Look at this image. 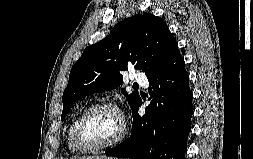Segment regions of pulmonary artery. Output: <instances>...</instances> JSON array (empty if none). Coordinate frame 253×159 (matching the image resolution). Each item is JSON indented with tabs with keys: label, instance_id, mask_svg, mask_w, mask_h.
<instances>
[{
	"label": "pulmonary artery",
	"instance_id": "e3ab8cb5",
	"mask_svg": "<svg viewBox=\"0 0 253 159\" xmlns=\"http://www.w3.org/2000/svg\"><path fill=\"white\" fill-rule=\"evenodd\" d=\"M133 80L137 83V86L141 85L143 87L148 86V79L145 73L137 71L132 75Z\"/></svg>",
	"mask_w": 253,
	"mask_h": 159
}]
</instances>
